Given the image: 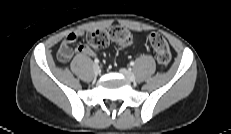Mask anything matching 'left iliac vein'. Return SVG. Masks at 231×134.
Listing matches in <instances>:
<instances>
[{"label":"left iliac vein","instance_id":"left-iliac-vein-1","mask_svg":"<svg viewBox=\"0 0 231 134\" xmlns=\"http://www.w3.org/2000/svg\"><path fill=\"white\" fill-rule=\"evenodd\" d=\"M120 73L126 77L127 80L129 81H134L135 80V75L133 72H131L130 70H127L125 68L120 69Z\"/></svg>","mask_w":231,"mask_h":134}]
</instances>
